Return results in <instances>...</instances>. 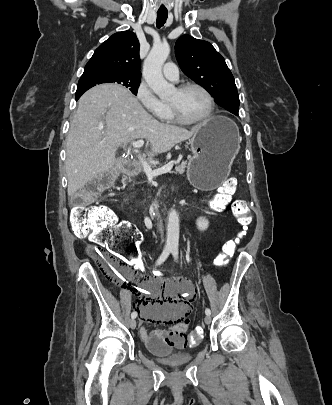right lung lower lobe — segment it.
Returning <instances> with one entry per match:
<instances>
[{
	"mask_svg": "<svg viewBox=\"0 0 332 405\" xmlns=\"http://www.w3.org/2000/svg\"><path fill=\"white\" fill-rule=\"evenodd\" d=\"M83 93L76 94V101L81 97Z\"/></svg>",
	"mask_w": 332,
	"mask_h": 405,
	"instance_id": "1",
	"label": "right lung lower lobe"
}]
</instances>
